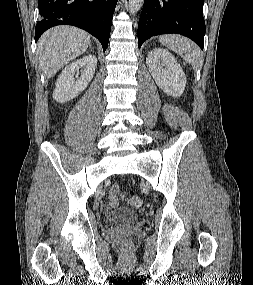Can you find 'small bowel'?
Listing matches in <instances>:
<instances>
[{
	"label": "small bowel",
	"instance_id": "obj_1",
	"mask_svg": "<svg viewBox=\"0 0 253 285\" xmlns=\"http://www.w3.org/2000/svg\"><path fill=\"white\" fill-rule=\"evenodd\" d=\"M109 204L111 206H117L120 203L121 195H120V188L118 185H114L110 192H109Z\"/></svg>",
	"mask_w": 253,
	"mask_h": 285
}]
</instances>
